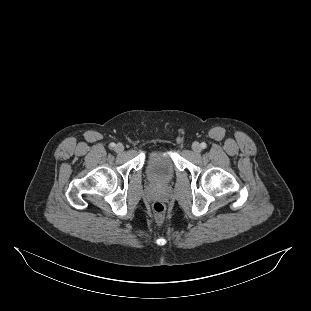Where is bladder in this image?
Returning <instances> with one entry per match:
<instances>
[{"label":"bladder","mask_w":311,"mask_h":311,"mask_svg":"<svg viewBox=\"0 0 311 311\" xmlns=\"http://www.w3.org/2000/svg\"><path fill=\"white\" fill-rule=\"evenodd\" d=\"M175 166L171 153L160 149L150 155L147 163V175L156 184H166L174 176Z\"/></svg>","instance_id":"obj_1"}]
</instances>
